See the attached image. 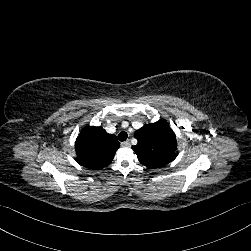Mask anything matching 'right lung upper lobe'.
<instances>
[{
	"instance_id": "right-lung-upper-lobe-1",
	"label": "right lung upper lobe",
	"mask_w": 251,
	"mask_h": 251,
	"mask_svg": "<svg viewBox=\"0 0 251 251\" xmlns=\"http://www.w3.org/2000/svg\"><path fill=\"white\" fill-rule=\"evenodd\" d=\"M119 147L116 136L102 127H86L75 142L76 161L89 169H102L111 163Z\"/></svg>"
}]
</instances>
